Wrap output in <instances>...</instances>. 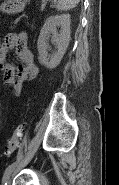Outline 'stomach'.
Instances as JSON below:
<instances>
[{
	"label": "stomach",
	"instance_id": "0dacf381",
	"mask_svg": "<svg viewBox=\"0 0 119 185\" xmlns=\"http://www.w3.org/2000/svg\"><path fill=\"white\" fill-rule=\"evenodd\" d=\"M28 1L29 0H6L0 6V10L8 14L19 13L24 10V7Z\"/></svg>",
	"mask_w": 119,
	"mask_h": 185
}]
</instances>
